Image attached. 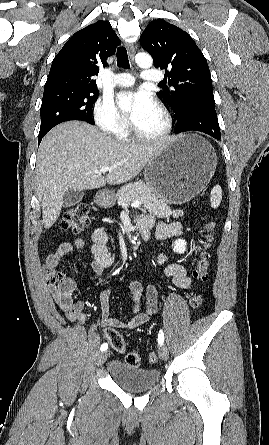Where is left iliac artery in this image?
I'll return each mask as SVG.
<instances>
[{
	"label": "left iliac artery",
	"instance_id": "obj_1",
	"mask_svg": "<svg viewBox=\"0 0 269 445\" xmlns=\"http://www.w3.org/2000/svg\"><path fill=\"white\" fill-rule=\"evenodd\" d=\"M158 343H159L160 345H163V343H164V333H163L162 330H160V331H159V334H158Z\"/></svg>",
	"mask_w": 269,
	"mask_h": 445
}]
</instances>
